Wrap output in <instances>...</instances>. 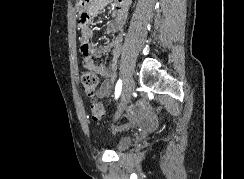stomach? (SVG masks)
<instances>
[{
  "label": "stomach",
  "instance_id": "stomach-1",
  "mask_svg": "<svg viewBox=\"0 0 244 179\" xmlns=\"http://www.w3.org/2000/svg\"><path fill=\"white\" fill-rule=\"evenodd\" d=\"M77 2H78V8H85V4H87L89 0H77ZM78 14H85V9H78Z\"/></svg>",
  "mask_w": 244,
  "mask_h": 179
}]
</instances>
